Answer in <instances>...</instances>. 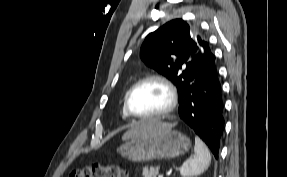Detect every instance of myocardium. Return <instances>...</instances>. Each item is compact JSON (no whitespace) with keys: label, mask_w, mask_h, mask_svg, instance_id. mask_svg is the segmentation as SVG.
<instances>
[{"label":"myocardium","mask_w":287,"mask_h":177,"mask_svg":"<svg viewBox=\"0 0 287 177\" xmlns=\"http://www.w3.org/2000/svg\"><path fill=\"white\" fill-rule=\"evenodd\" d=\"M148 82H158L162 84L168 93L169 103L165 109H163L162 111L158 113L148 114V115L136 114L135 112H133L131 108V98L134 92L141 85L148 83ZM177 103H178V93L173 83L164 76L154 74V75H148V76L141 78L129 89L125 97V110L129 116L135 119H140V120L157 119V118L165 117L166 115L171 113L177 106Z\"/></svg>","instance_id":"myocardium-1"}]
</instances>
